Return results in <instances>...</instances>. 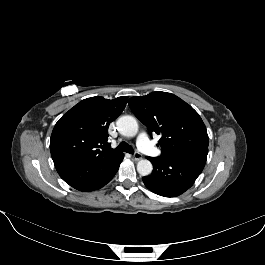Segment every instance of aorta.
Returning a JSON list of instances; mask_svg holds the SVG:
<instances>
[{
	"instance_id": "aorta-1",
	"label": "aorta",
	"mask_w": 265,
	"mask_h": 265,
	"mask_svg": "<svg viewBox=\"0 0 265 265\" xmlns=\"http://www.w3.org/2000/svg\"><path fill=\"white\" fill-rule=\"evenodd\" d=\"M119 132L126 137H134L138 132V123L132 116L126 115L118 119ZM153 166L147 159H141L137 163V171L142 176H148L151 174Z\"/></svg>"
}]
</instances>
